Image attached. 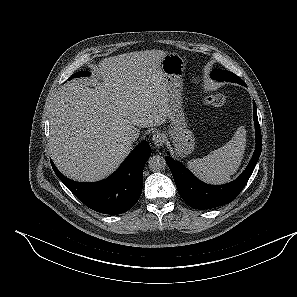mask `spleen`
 <instances>
[{
	"mask_svg": "<svg viewBox=\"0 0 297 297\" xmlns=\"http://www.w3.org/2000/svg\"><path fill=\"white\" fill-rule=\"evenodd\" d=\"M246 147V129L238 127L232 139L223 147L203 158L188 161V168L201 180L221 184L228 182L241 165Z\"/></svg>",
	"mask_w": 297,
	"mask_h": 297,
	"instance_id": "3e777b00",
	"label": "spleen"
}]
</instances>
